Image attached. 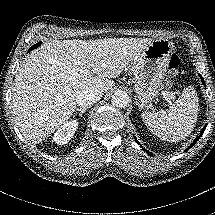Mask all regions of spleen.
Returning <instances> with one entry per match:
<instances>
[{
    "instance_id": "spleen-1",
    "label": "spleen",
    "mask_w": 215,
    "mask_h": 215,
    "mask_svg": "<svg viewBox=\"0 0 215 215\" xmlns=\"http://www.w3.org/2000/svg\"><path fill=\"white\" fill-rule=\"evenodd\" d=\"M198 100L193 87L184 88L182 95L168 111L143 112V122L159 138L178 142L189 136L195 127L199 112Z\"/></svg>"
}]
</instances>
